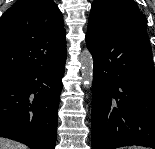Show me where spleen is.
Wrapping results in <instances>:
<instances>
[{"label": "spleen", "mask_w": 155, "mask_h": 149, "mask_svg": "<svg viewBox=\"0 0 155 149\" xmlns=\"http://www.w3.org/2000/svg\"><path fill=\"white\" fill-rule=\"evenodd\" d=\"M128 149H147V148L141 147V146H132V147H129Z\"/></svg>", "instance_id": "obj_1"}]
</instances>
